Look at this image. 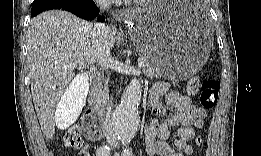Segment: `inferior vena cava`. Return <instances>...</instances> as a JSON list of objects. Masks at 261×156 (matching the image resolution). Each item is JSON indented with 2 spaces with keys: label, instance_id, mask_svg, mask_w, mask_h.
I'll use <instances>...</instances> for the list:
<instances>
[{
  "label": "inferior vena cava",
  "instance_id": "602c4592",
  "mask_svg": "<svg viewBox=\"0 0 261 156\" xmlns=\"http://www.w3.org/2000/svg\"><path fill=\"white\" fill-rule=\"evenodd\" d=\"M100 6L106 8L108 7V3L100 2ZM91 34L93 38L92 43L94 45L97 62L101 65L103 69H108L112 61L110 46L107 41L108 26H106L105 24L96 23L92 27ZM112 107L113 105H112V97H111L110 103L107 106V112L104 121V130L108 143L117 144V137L113 131L112 123H111Z\"/></svg>",
  "mask_w": 261,
  "mask_h": 156
}]
</instances>
